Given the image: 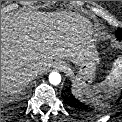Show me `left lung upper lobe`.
<instances>
[{"instance_id": "1", "label": "left lung upper lobe", "mask_w": 122, "mask_h": 122, "mask_svg": "<svg viewBox=\"0 0 122 122\" xmlns=\"http://www.w3.org/2000/svg\"><path fill=\"white\" fill-rule=\"evenodd\" d=\"M116 36L120 39V40H122V29H118L117 31H116Z\"/></svg>"}]
</instances>
